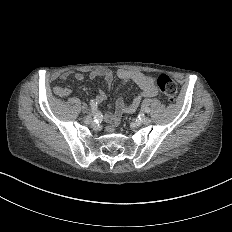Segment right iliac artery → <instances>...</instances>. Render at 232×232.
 Returning a JSON list of instances; mask_svg holds the SVG:
<instances>
[{
  "label": "right iliac artery",
  "instance_id": "82829eb1",
  "mask_svg": "<svg viewBox=\"0 0 232 232\" xmlns=\"http://www.w3.org/2000/svg\"><path fill=\"white\" fill-rule=\"evenodd\" d=\"M90 105H91V111L87 115L82 116L81 119H89L94 116L97 108V101L91 100Z\"/></svg>",
  "mask_w": 232,
  "mask_h": 232
}]
</instances>
